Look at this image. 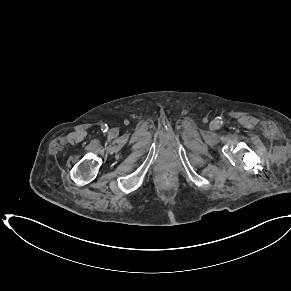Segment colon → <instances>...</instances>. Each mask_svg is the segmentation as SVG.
<instances>
[{"instance_id": "1", "label": "colon", "mask_w": 291, "mask_h": 291, "mask_svg": "<svg viewBox=\"0 0 291 291\" xmlns=\"http://www.w3.org/2000/svg\"><path fill=\"white\" fill-rule=\"evenodd\" d=\"M171 176H172V174H171L169 171H165V172L163 173V175H162V179H163L164 181H168V180L171 179Z\"/></svg>"}]
</instances>
